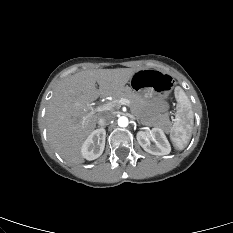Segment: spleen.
<instances>
[{
    "mask_svg": "<svg viewBox=\"0 0 233 233\" xmlns=\"http://www.w3.org/2000/svg\"><path fill=\"white\" fill-rule=\"evenodd\" d=\"M177 113L175 122L170 129V139L178 150H183L191 139L194 114L191 102L181 87L175 88Z\"/></svg>",
    "mask_w": 233,
    "mask_h": 233,
    "instance_id": "1",
    "label": "spleen"
}]
</instances>
